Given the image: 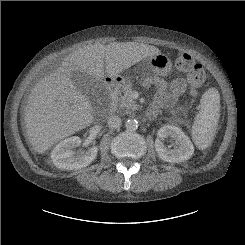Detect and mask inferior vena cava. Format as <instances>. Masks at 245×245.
I'll return each mask as SVG.
<instances>
[{"instance_id": "inferior-vena-cava-1", "label": "inferior vena cava", "mask_w": 245, "mask_h": 245, "mask_svg": "<svg viewBox=\"0 0 245 245\" xmlns=\"http://www.w3.org/2000/svg\"><path fill=\"white\" fill-rule=\"evenodd\" d=\"M108 125L112 129L119 128L121 126V118L118 116H111L108 119Z\"/></svg>"}]
</instances>
